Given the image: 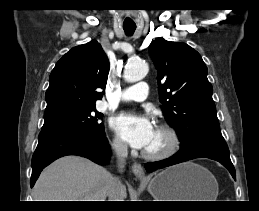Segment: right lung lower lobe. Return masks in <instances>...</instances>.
<instances>
[{
  "mask_svg": "<svg viewBox=\"0 0 259 211\" xmlns=\"http://www.w3.org/2000/svg\"><path fill=\"white\" fill-rule=\"evenodd\" d=\"M66 155H78L100 165L106 164L111 156V151L104 130L100 132L41 131L37 148L32 157L31 187L34 186L41 171L47 165Z\"/></svg>",
  "mask_w": 259,
  "mask_h": 211,
  "instance_id": "right-lung-lower-lobe-1",
  "label": "right lung lower lobe"
}]
</instances>
